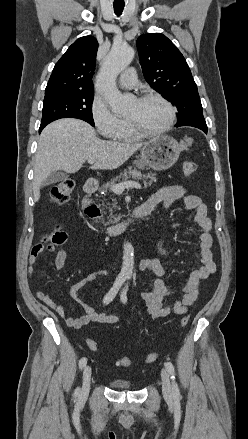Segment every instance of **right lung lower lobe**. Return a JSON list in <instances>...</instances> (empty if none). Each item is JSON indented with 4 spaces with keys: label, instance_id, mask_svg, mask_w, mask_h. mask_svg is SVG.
Returning a JSON list of instances; mask_svg holds the SVG:
<instances>
[{
    "label": "right lung lower lobe",
    "instance_id": "1",
    "mask_svg": "<svg viewBox=\"0 0 248 439\" xmlns=\"http://www.w3.org/2000/svg\"><path fill=\"white\" fill-rule=\"evenodd\" d=\"M45 126L46 125H40L39 132H41Z\"/></svg>",
    "mask_w": 248,
    "mask_h": 439
}]
</instances>
